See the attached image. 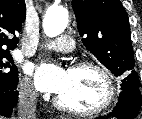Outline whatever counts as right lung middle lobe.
I'll return each instance as SVG.
<instances>
[{
	"label": "right lung middle lobe",
	"instance_id": "1",
	"mask_svg": "<svg viewBox=\"0 0 142 119\" xmlns=\"http://www.w3.org/2000/svg\"><path fill=\"white\" fill-rule=\"evenodd\" d=\"M18 84V70L9 50H0V89H15Z\"/></svg>",
	"mask_w": 142,
	"mask_h": 119
}]
</instances>
